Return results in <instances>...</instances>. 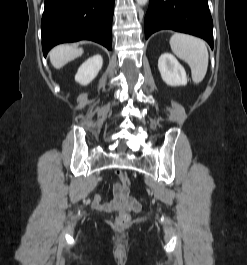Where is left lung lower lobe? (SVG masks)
<instances>
[{"instance_id": "1", "label": "left lung lower lobe", "mask_w": 247, "mask_h": 265, "mask_svg": "<svg viewBox=\"0 0 247 265\" xmlns=\"http://www.w3.org/2000/svg\"><path fill=\"white\" fill-rule=\"evenodd\" d=\"M144 26L146 39L156 31L171 29L203 38L213 48L208 0H150Z\"/></svg>"}]
</instances>
